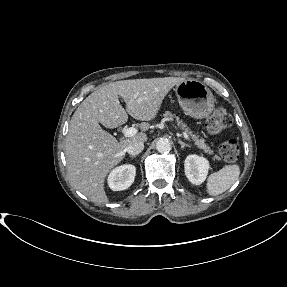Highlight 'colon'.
Masks as SVG:
<instances>
[{"label": "colon", "instance_id": "obj_1", "mask_svg": "<svg viewBox=\"0 0 287 287\" xmlns=\"http://www.w3.org/2000/svg\"><path fill=\"white\" fill-rule=\"evenodd\" d=\"M232 124L231 115L224 109L218 108L206 121V130L210 134H217ZM240 153L235 139H228L219 146V154L226 162H234Z\"/></svg>", "mask_w": 287, "mask_h": 287}]
</instances>
